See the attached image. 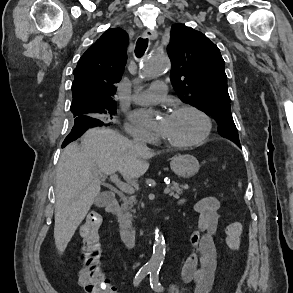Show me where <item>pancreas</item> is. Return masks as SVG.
Returning a JSON list of instances; mask_svg holds the SVG:
<instances>
[{"instance_id": "cf45deb5", "label": "pancreas", "mask_w": 293, "mask_h": 293, "mask_svg": "<svg viewBox=\"0 0 293 293\" xmlns=\"http://www.w3.org/2000/svg\"><path fill=\"white\" fill-rule=\"evenodd\" d=\"M188 188L189 186L187 184L179 185L176 182H172V184L169 186V189H170L169 195L175 199H179L180 195L183 194L184 190H187ZM135 204H136V198L134 196H131L128 199H125L122 204L124 218L128 221L132 219V212H135V209H133V206Z\"/></svg>"}]
</instances>
